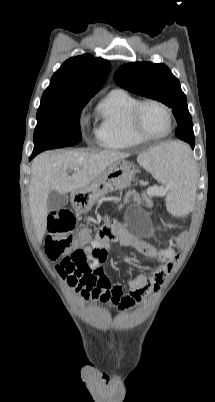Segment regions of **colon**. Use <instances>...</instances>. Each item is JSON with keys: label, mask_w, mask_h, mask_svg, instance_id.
<instances>
[{"label": "colon", "mask_w": 215, "mask_h": 402, "mask_svg": "<svg viewBox=\"0 0 215 402\" xmlns=\"http://www.w3.org/2000/svg\"><path fill=\"white\" fill-rule=\"evenodd\" d=\"M75 226V217L69 210L53 211L48 216V236L46 238V253L49 258L55 260L65 255L66 257L60 262L62 266L69 267L73 263H81L84 255L80 250H84L86 244H91L92 237L88 231H83L75 238L71 234ZM182 229L186 228L185 224L181 225ZM190 234L179 233L174 240L175 246H180L189 241ZM75 250V251H74ZM173 257L169 262H172ZM84 270L85 268L82 267Z\"/></svg>", "instance_id": "colon-1"}]
</instances>
